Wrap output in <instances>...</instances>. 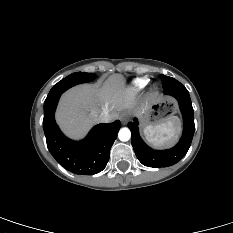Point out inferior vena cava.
Returning a JSON list of instances; mask_svg holds the SVG:
<instances>
[{
  "label": "inferior vena cava",
  "mask_w": 233,
  "mask_h": 233,
  "mask_svg": "<svg viewBox=\"0 0 233 233\" xmlns=\"http://www.w3.org/2000/svg\"><path fill=\"white\" fill-rule=\"evenodd\" d=\"M112 120L111 115L108 112H102L99 116H98V121L102 122V123H108Z\"/></svg>",
  "instance_id": "obj_1"
}]
</instances>
